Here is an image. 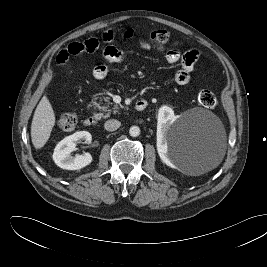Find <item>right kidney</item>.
Masks as SVG:
<instances>
[{"label": "right kidney", "mask_w": 267, "mask_h": 267, "mask_svg": "<svg viewBox=\"0 0 267 267\" xmlns=\"http://www.w3.org/2000/svg\"><path fill=\"white\" fill-rule=\"evenodd\" d=\"M92 136L87 131H79L61 140L54 149L53 160L57 166L66 170H79L92 162L89 153L72 156L71 152L76 149L79 141L91 143Z\"/></svg>", "instance_id": "ca27d5eb"}]
</instances>
